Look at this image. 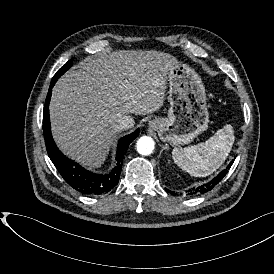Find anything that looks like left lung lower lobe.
I'll list each match as a JSON object with an SVG mask.
<instances>
[{
	"instance_id": "0a47b994",
	"label": "left lung lower lobe",
	"mask_w": 274,
	"mask_h": 274,
	"mask_svg": "<svg viewBox=\"0 0 274 274\" xmlns=\"http://www.w3.org/2000/svg\"><path fill=\"white\" fill-rule=\"evenodd\" d=\"M234 160L230 162V164L227 166V169H230L231 165L233 164ZM224 169L222 172H220L215 178H213L209 183L204 184L202 186H199L197 189L194 190L193 193H206L210 191L215 185H217L223 177L227 174L228 170ZM168 192H170L168 189H166Z\"/></svg>"
}]
</instances>
